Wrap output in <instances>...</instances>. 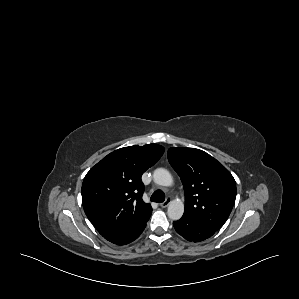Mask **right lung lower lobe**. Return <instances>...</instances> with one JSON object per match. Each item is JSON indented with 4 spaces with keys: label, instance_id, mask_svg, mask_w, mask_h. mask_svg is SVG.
I'll return each instance as SVG.
<instances>
[{
    "label": "right lung lower lobe",
    "instance_id": "1",
    "mask_svg": "<svg viewBox=\"0 0 299 299\" xmlns=\"http://www.w3.org/2000/svg\"><path fill=\"white\" fill-rule=\"evenodd\" d=\"M145 226L146 223L134 230L110 234L104 236V238L114 244L125 245L137 239L140 236V234L143 232Z\"/></svg>",
    "mask_w": 299,
    "mask_h": 299
}]
</instances>
